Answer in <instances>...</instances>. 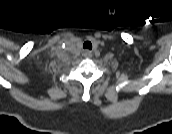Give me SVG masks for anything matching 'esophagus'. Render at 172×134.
<instances>
[{
  "label": "esophagus",
  "mask_w": 172,
  "mask_h": 134,
  "mask_svg": "<svg viewBox=\"0 0 172 134\" xmlns=\"http://www.w3.org/2000/svg\"><path fill=\"white\" fill-rule=\"evenodd\" d=\"M83 56L89 58L92 56V52L90 50L86 49L83 51Z\"/></svg>",
  "instance_id": "1"
}]
</instances>
